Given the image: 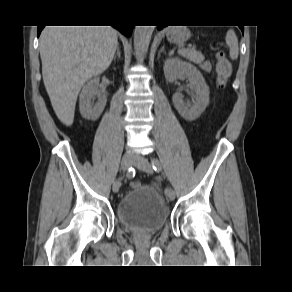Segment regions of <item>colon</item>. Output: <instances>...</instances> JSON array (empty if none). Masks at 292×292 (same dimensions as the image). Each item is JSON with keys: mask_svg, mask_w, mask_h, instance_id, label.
<instances>
[{"mask_svg": "<svg viewBox=\"0 0 292 292\" xmlns=\"http://www.w3.org/2000/svg\"><path fill=\"white\" fill-rule=\"evenodd\" d=\"M216 72H217V82L219 87L223 88L226 86L228 79L232 73V66L224 52L219 51L217 53V64H216ZM141 184L138 181H133L130 183L131 188H137Z\"/></svg>", "mask_w": 292, "mask_h": 292, "instance_id": "obj_1", "label": "colon"}]
</instances>
